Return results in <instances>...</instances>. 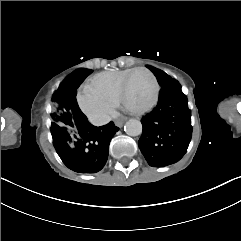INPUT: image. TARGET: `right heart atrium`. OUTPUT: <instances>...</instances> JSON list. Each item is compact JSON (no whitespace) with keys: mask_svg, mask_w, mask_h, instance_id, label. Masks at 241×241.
Instances as JSON below:
<instances>
[{"mask_svg":"<svg viewBox=\"0 0 241 241\" xmlns=\"http://www.w3.org/2000/svg\"><path fill=\"white\" fill-rule=\"evenodd\" d=\"M80 110L88 115L91 121L101 128H106L111 123V110H114L115 102L107 94H104L92 83H87L79 88L76 95Z\"/></svg>","mask_w":241,"mask_h":241,"instance_id":"obj_1","label":"right heart atrium"}]
</instances>
